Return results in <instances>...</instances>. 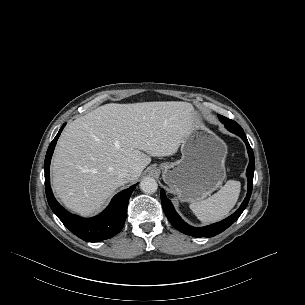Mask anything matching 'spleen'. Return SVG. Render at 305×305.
Returning a JSON list of instances; mask_svg holds the SVG:
<instances>
[{
	"instance_id": "3e777b00",
	"label": "spleen",
	"mask_w": 305,
	"mask_h": 305,
	"mask_svg": "<svg viewBox=\"0 0 305 305\" xmlns=\"http://www.w3.org/2000/svg\"><path fill=\"white\" fill-rule=\"evenodd\" d=\"M240 187L239 181L229 180L217 193L207 199L192 202L190 209L204 223L218 222L225 218L235 206Z\"/></svg>"
}]
</instances>
